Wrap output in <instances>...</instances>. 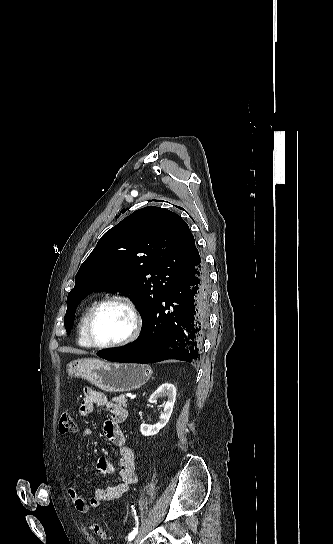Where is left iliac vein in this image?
I'll list each match as a JSON object with an SVG mask.
<instances>
[{
  "mask_svg": "<svg viewBox=\"0 0 333 544\" xmlns=\"http://www.w3.org/2000/svg\"><path fill=\"white\" fill-rule=\"evenodd\" d=\"M128 544H133V543L131 541H129Z\"/></svg>",
  "mask_w": 333,
  "mask_h": 544,
  "instance_id": "4c4485c4",
  "label": "left iliac vein"
}]
</instances>
